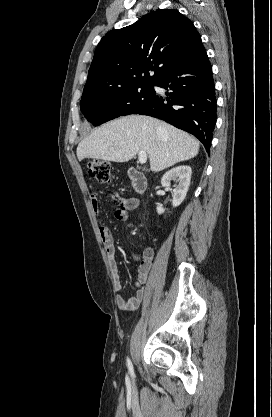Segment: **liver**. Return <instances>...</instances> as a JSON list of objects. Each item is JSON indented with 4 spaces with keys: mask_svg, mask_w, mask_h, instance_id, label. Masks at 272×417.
Returning <instances> with one entry per match:
<instances>
[{
    "mask_svg": "<svg viewBox=\"0 0 272 417\" xmlns=\"http://www.w3.org/2000/svg\"><path fill=\"white\" fill-rule=\"evenodd\" d=\"M199 142L188 133L158 119L129 115L103 124L77 147V158L127 162L145 151L153 172L195 157Z\"/></svg>",
    "mask_w": 272,
    "mask_h": 417,
    "instance_id": "1",
    "label": "liver"
}]
</instances>
